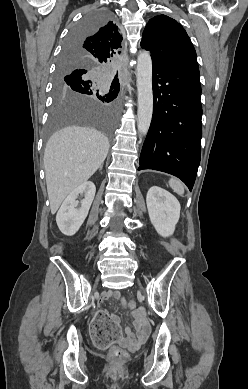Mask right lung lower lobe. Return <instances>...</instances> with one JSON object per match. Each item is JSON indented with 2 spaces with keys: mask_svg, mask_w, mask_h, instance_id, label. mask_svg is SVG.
<instances>
[{
  "mask_svg": "<svg viewBox=\"0 0 248 389\" xmlns=\"http://www.w3.org/2000/svg\"><path fill=\"white\" fill-rule=\"evenodd\" d=\"M82 39H79V40H75L74 43H78L80 42ZM87 72V70L85 69H77V70H74L73 72H71L69 75H68V78L71 79V78H74L76 75L78 74H83ZM113 83V82H112ZM115 85H117L119 87V90H120V84L119 83H113Z\"/></svg>",
  "mask_w": 248,
  "mask_h": 389,
  "instance_id": "98d812e1",
  "label": "right lung lower lobe"
}]
</instances>
